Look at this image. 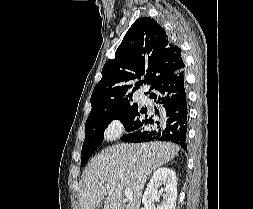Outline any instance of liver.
I'll use <instances>...</instances> for the list:
<instances>
[{"instance_id": "6515ba94", "label": "liver", "mask_w": 253, "mask_h": 209, "mask_svg": "<svg viewBox=\"0 0 253 209\" xmlns=\"http://www.w3.org/2000/svg\"><path fill=\"white\" fill-rule=\"evenodd\" d=\"M180 147L170 142L117 144L88 164L79 192L80 209H139L144 185L157 168L171 161ZM132 190L126 204L122 190Z\"/></svg>"}]
</instances>
